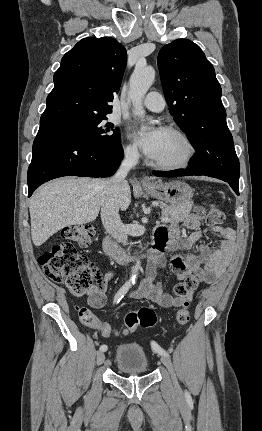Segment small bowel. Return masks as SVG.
Instances as JSON below:
<instances>
[{
  "instance_id": "obj_1",
  "label": "small bowel",
  "mask_w": 262,
  "mask_h": 431,
  "mask_svg": "<svg viewBox=\"0 0 262 431\" xmlns=\"http://www.w3.org/2000/svg\"><path fill=\"white\" fill-rule=\"evenodd\" d=\"M204 216L205 212L196 208L184 219L183 224L187 229L191 230V233L185 237L181 235V225L178 223L161 226L156 229L155 235L159 238L163 250L159 251L147 262L145 279L140 288L132 292V297H145L161 308L182 305L184 300L165 292L162 283L158 279L159 271L166 268L168 263L178 281L194 276L201 283L213 284L224 274L232 258L234 231L226 226L210 225L211 231L222 237L220 248L211 250L207 245L199 244L203 235L200 223ZM195 247L198 251L197 255H183L181 253ZM164 249H168L174 254L168 259ZM116 273L115 270L107 273L100 283L89 288L87 294L90 307L98 308L104 305L108 284L116 276ZM86 310L92 315L89 309Z\"/></svg>"
}]
</instances>
